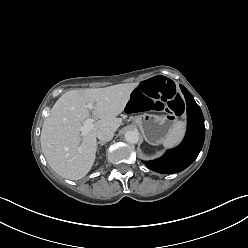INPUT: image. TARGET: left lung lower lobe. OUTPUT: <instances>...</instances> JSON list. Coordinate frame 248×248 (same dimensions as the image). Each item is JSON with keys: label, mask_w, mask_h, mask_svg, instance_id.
<instances>
[{"label": "left lung lower lobe", "mask_w": 248, "mask_h": 248, "mask_svg": "<svg viewBox=\"0 0 248 248\" xmlns=\"http://www.w3.org/2000/svg\"><path fill=\"white\" fill-rule=\"evenodd\" d=\"M187 105V131L182 143L153 161H143L151 170L163 174L183 171L197 158L205 138L204 117L191 93L182 85Z\"/></svg>", "instance_id": "0a47b994"}]
</instances>
